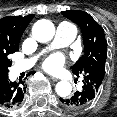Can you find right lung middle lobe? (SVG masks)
Segmentation results:
<instances>
[{
  "mask_svg": "<svg viewBox=\"0 0 117 117\" xmlns=\"http://www.w3.org/2000/svg\"><path fill=\"white\" fill-rule=\"evenodd\" d=\"M12 62L7 58L0 62V72L8 74V68L11 66Z\"/></svg>",
  "mask_w": 117,
  "mask_h": 117,
  "instance_id": "dd1d6c3e",
  "label": "right lung middle lobe"
}]
</instances>
